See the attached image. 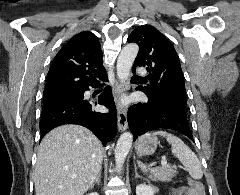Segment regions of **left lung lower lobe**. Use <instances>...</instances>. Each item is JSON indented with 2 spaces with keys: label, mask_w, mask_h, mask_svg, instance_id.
<instances>
[{
  "label": "left lung lower lobe",
  "mask_w": 240,
  "mask_h": 195,
  "mask_svg": "<svg viewBox=\"0 0 240 195\" xmlns=\"http://www.w3.org/2000/svg\"><path fill=\"white\" fill-rule=\"evenodd\" d=\"M128 125L134 141L142 134L157 129H172L191 140L192 133L182 106L148 99L147 102L132 105L128 110Z\"/></svg>",
  "instance_id": "obj_1"
}]
</instances>
